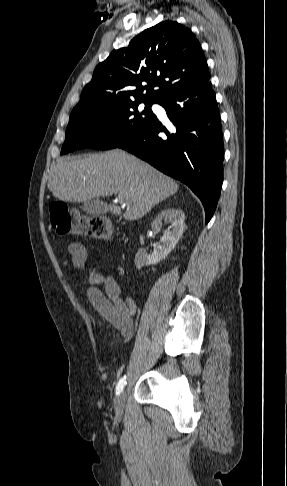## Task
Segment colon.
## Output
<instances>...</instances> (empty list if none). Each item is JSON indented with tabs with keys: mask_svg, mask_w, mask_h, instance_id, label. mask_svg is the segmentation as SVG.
I'll return each instance as SVG.
<instances>
[{
	"mask_svg": "<svg viewBox=\"0 0 287 486\" xmlns=\"http://www.w3.org/2000/svg\"><path fill=\"white\" fill-rule=\"evenodd\" d=\"M50 223L60 235L77 234L107 239L112 234L110 221L103 216H82L71 211L63 202H53L49 208ZM94 274L91 273V276Z\"/></svg>",
	"mask_w": 287,
	"mask_h": 486,
	"instance_id": "obj_1",
	"label": "colon"
}]
</instances>
